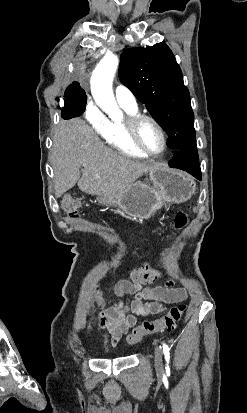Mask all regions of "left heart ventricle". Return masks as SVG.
I'll return each mask as SVG.
<instances>
[{
    "label": "left heart ventricle",
    "instance_id": "b2bd125f",
    "mask_svg": "<svg viewBox=\"0 0 247 413\" xmlns=\"http://www.w3.org/2000/svg\"><path fill=\"white\" fill-rule=\"evenodd\" d=\"M138 135L142 145L149 151L159 152L162 149V135L152 124L142 122L139 127Z\"/></svg>",
    "mask_w": 247,
    "mask_h": 413
}]
</instances>
